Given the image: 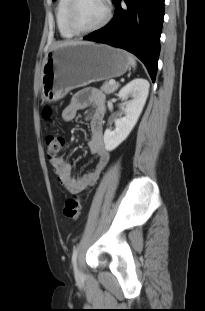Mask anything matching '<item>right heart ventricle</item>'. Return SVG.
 I'll list each match as a JSON object with an SVG mask.
<instances>
[{
	"label": "right heart ventricle",
	"mask_w": 205,
	"mask_h": 311,
	"mask_svg": "<svg viewBox=\"0 0 205 311\" xmlns=\"http://www.w3.org/2000/svg\"><path fill=\"white\" fill-rule=\"evenodd\" d=\"M68 4L69 0H59L56 7V24L60 35L66 39H70L76 36V34L71 31L67 23Z\"/></svg>",
	"instance_id": "right-heart-ventricle-1"
}]
</instances>
